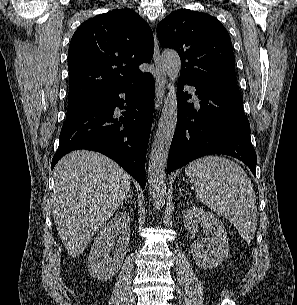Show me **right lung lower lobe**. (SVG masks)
<instances>
[{"label": "right lung lower lobe", "mask_w": 297, "mask_h": 305, "mask_svg": "<svg viewBox=\"0 0 297 305\" xmlns=\"http://www.w3.org/2000/svg\"><path fill=\"white\" fill-rule=\"evenodd\" d=\"M154 88L153 76L146 73L133 82L111 89L98 102L67 117L51 168L70 151L94 150L121 165L144 189ZM119 94H124L125 98ZM116 107L125 111L120 115Z\"/></svg>", "instance_id": "1"}]
</instances>
